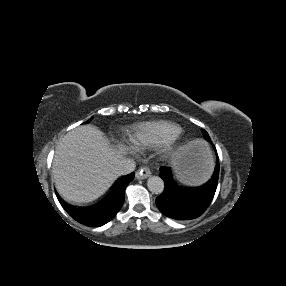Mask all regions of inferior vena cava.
<instances>
[{
    "label": "inferior vena cava",
    "instance_id": "1",
    "mask_svg": "<svg viewBox=\"0 0 286 286\" xmlns=\"http://www.w3.org/2000/svg\"><path fill=\"white\" fill-rule=\"evenodd\" d=\"M135 162L130 158L118 159L114 166V172L116 175H127L135 170Z\"/></svg>",
    "mask_w": 286,
    "mask_h": 286
}]
</instances>
